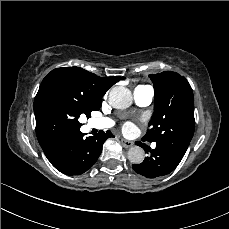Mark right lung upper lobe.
Returning a JSON list of instances; mask_svg holds the SVG:
<instances>
[{
	"mask_svg": "<svg viewBox=\"0 0 229 229\" xmlns=\"http://www.w3.org/2000/svg\"><path fill=\"white\" fill-rule=\"evenodd\" d=\"M120 79L124 77H99L79 67H62L52 70L43 79L39 91L52 82H62L76 88L92 102L102 103V96ZM36 134L45 154L59 141L48 140L37 130Z\"/></svg>",
	"mask_w": 229,
	"mask_h": 229,
	"instance_id": "right-lung-upper-lobe-1",
	"label": "right lung upper lobe"
}]
</instances>
